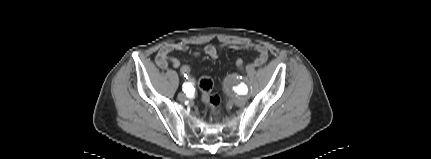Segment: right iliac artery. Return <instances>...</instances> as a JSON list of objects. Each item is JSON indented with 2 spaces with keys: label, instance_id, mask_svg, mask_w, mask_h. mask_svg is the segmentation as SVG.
I'll list each match as a JSON object with an SVG mask.
<instances>
[{
  "label": "right iliac artery",
  "instance_id": "obj_1",
  "mask_svg": "<svg viewBox=\"0 0 431 159\" xmlns=\"http://www.w3.org/2000/svg\"><path fill=\"white\" fill-rule=\"evenodd\" d=\"M192 90H193V86L190 83H184L183 84L184 93H191Z\"/></svg>",
  "mask_w": 431,
  "mask_h": 159
}]
</instances>
